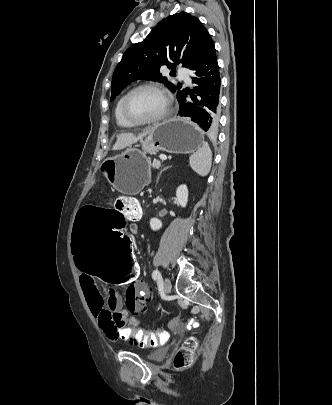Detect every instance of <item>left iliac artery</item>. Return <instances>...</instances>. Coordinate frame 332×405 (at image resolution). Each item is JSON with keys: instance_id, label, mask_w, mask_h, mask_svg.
<instances>
[{"instance_id": "1", "label": "left iliac artery", "mask_w": 332, "mask_h": 405, "mask_svg": "<svg viewBox=\"0 0 332 405\" xmlns=\"http://www.w3.org/2000/svg\"><path fill=\"white\" fill-rule=\"evenodd\" d=\"M152 278L156 281H161L162 277H161V273L158 269L154 270L152 273Z\"/></svg>"}]
</instances>
